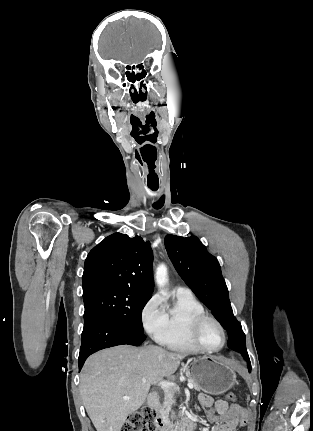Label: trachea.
I'll return each instance as SVG.
<instances>
[{
    "label": "trachea",
    "instance_id": "trachea-1",
    "mask_svg": "<svg viewBox=\"0 0 313 431\" xmlns=\"http://www.w3.org/2000/svg\"><path fill=\"white\" fill-rule=\"evenodd\" d=\"M149 188H150L152 191H156V190L158 189V186H149Z\"/></svg>",
    "mask_w": 313,
    "mask_h": 431
}]
</instances>
